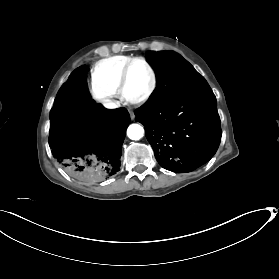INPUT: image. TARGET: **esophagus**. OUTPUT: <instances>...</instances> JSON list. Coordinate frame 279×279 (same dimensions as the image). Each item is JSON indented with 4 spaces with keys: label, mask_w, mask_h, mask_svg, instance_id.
<instances>
[{
    "label": "esophagus",
    "mask_w": 279,
    "mask_h": 279,
    "mask_svg": "<svg viewBox=\"0 0 279 279\" xmlns=\"http://www.w3.org/2000/svg\"><path fill=\"white\" fill-rule=\"evenodd\" d=\"M130 115H131V119L135 118V115H134L133 111H130Z\"/></svg>",
    "instance_id": "1"
}]
</instances>
